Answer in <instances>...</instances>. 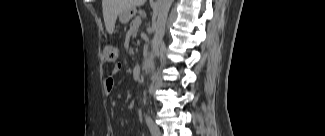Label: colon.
I'll list each match as a JSON object with an SVG mask.
<instances>
[{
	"mask_svg": "<svg viewBox=\"0 0 325 136\" xmlns=\"http://www.w3.org/2000/svg\"><path fill=\"white\" fill-rule=\"evenodd\" d=\"M102 54L107 64H114L118 58V49L116 46L106 43L102 46Z\"/></svg>",
	"mask_w": 325,
	"mask_h": 136,
	"instance_id": "1",
	"label": "colon"
}]
</instances>
